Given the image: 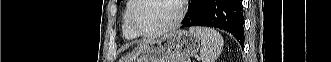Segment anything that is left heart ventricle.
<instances>
[{
    "mask_svg": "<svg viewBox=\"0 0 331 62\" xmlns=\"http://www.w3.org/2000/svg\"><path fill=\"white\" fill-rule=\"evenodd\" d=\"M177 15L174 0H144L135 13V20L141 29L155 30L174 21Z\"/></svg>",
    "mask_w": 331,
    "mask_h": 62,
    "instance_id": "1",
    "label": "left heart ventricle"
}]
</instances>
